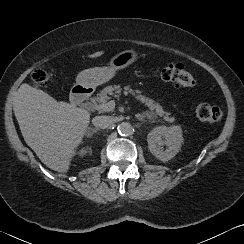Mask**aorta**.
Here are the masks:
<instances>
[{
    "mask_svg": "<svg viewBox=\"0 0 244 244\" xmlns=\"http://www.w3.org/2000/svg\"><path fill=\"white\" fill-rule=\"evenodd\" d=\"M117 131L120 135L127 136L133 132V127L130 123L123 122L117 126Z\"/></svg>",
    "mask_w": 244,
    "mask_h": 244,
    "instance_id": "obj_1",
    "label": "aorta"
}]
</instances>
